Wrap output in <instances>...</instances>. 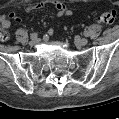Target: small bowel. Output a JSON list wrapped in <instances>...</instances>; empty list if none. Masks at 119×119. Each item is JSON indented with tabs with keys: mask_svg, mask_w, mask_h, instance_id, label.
<instances>
[{
	"mask_svg": "<svg viewBox=\"0 0 119 119\" xmlns=\"http://www.w3.org/2000/svg\"><path fill=\"white\" fill-rule=\"evenodd\" d=\"M47 4L48 3L44 2V1L33 3V4L28 5L26 7V10L29 11V12L34 11V10H40V9H43ZM50 4L53 5L54 8L56 9L57 16L62 17V16L72 15V11L63 2L53 1V2H50ZM10 19H12L16 22L21 21V17L18 16L17 14H15V13H10L8 15H3L1 17V25H2L3 29H8L11 26ZM52 33H53V30L50 29L49 34L51 35Z\"/></svg>",
	"mask_w": 119,
	"mask_h": 119,
	"instance_id": "1",
	"label": "small bowel"
}]
</instances>
